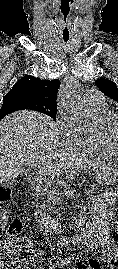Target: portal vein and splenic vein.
I'll return each instance as SVG.
<instances>
[{"label":"portal vein and splenic vein","instance_id":"obj_1","mask_svg":"<svg viewBox=\"0 0 118 269\" xmlns=\"http://www.w3.org/2000/svg\"><path fill=\"white\" fill-rule=\"evenodd\" d=\"M39 172H40V173H42V172H43V170H41V169H40V170H39Z\"/></svg>","mask_w":118,"mask_h":269}]
</instances>
